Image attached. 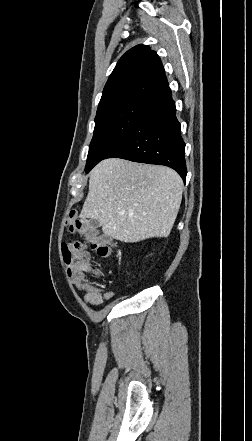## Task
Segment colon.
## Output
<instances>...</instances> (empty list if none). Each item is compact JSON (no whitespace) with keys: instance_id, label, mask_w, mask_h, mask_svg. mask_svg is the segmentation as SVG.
Masks as SVG:
<instances>
[{"instance_id":"obj_1","label":"colon","mask_w":252,"mask_h":441,"mask_svg":"<svg viewBox=\"0 0 252 441\" xmlns=\"http://www.w3.org/2000/svg\"><path fill=\"white\" fill-rule=\"evenodd\" d=\"M71 232L78 233L84 238V242L78 240L67 241L62 244V255L67 265L69 276L73 281L86 282L89 274V254L87 247L101 257L111 254L112 243L110 238L91 227L86 222L77 219L74 215L69 218Z\"/></svg>"}]
</instances>
